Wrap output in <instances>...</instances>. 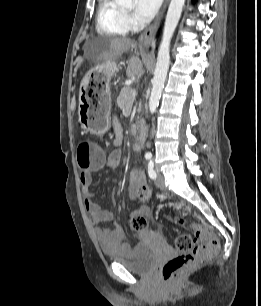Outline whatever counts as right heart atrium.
I'll use <instances>...</instances> for the list:
<instances>
[{"label":"right heart atrium","instance_id":"1","mask_svg":"<svg viewBox=\"0 0 261 306\" xmlns=\"http://www.w3.org/2000/svg\"><path fill=\"white\" fill-rule=\"evenodd\" d=\"M125 20H126V22H127L129 27L133 26L134 20H133L132 16L129 13H125Z\"/></svg>","mask_w":261,"mask_h":306}]
</instances>
